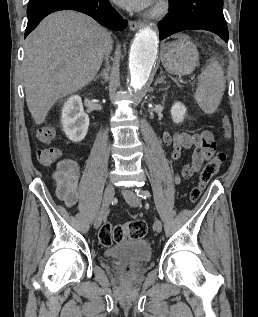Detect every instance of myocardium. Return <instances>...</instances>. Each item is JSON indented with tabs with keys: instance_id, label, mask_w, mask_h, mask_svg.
I'll list each match as a JSON object with an SVG mask.
<instances>
[{
	"instance_id": "myocardium-1",
	"label": "myocardium",
	"mask_w": 258,
	"mask_h": 317,
	"mask_svg": "<svg viewBox=\"0 0 258 317\" xmlns=\"http://www.w3.org/2000/svg\"><path fill=\"white\" fill-rule=\"evenodd\" d=\"M167 10V7L165 5H158L153 11L152 15L153 16H160L164 14Z\"/></svg>"
}]
</instances>
